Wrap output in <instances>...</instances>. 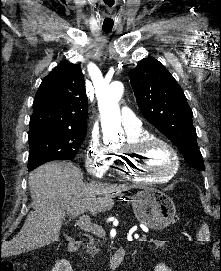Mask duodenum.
Segmentation results:
<instances>
[{"label":"duodenum","instance_id":"1","mask_svg":"<svg viewBox=\"0 0 221 271\" xmlns=\"http://www.w3.org/2000/svg\"><path fill=\"white\" fill-rule=\"evenodd\" d=\"M80 241L78 240H71L66 248V254L69 258L72 257V255L78 250L79 246H80ZM127 257V251L125 249H118L110 262V269L112 271H116L117 269H119V267L122 265L124 259ZM78 269L81 270V267L78 266Z\"/></svg>","mask_w":221,"mask_h":271}]
</instances>
